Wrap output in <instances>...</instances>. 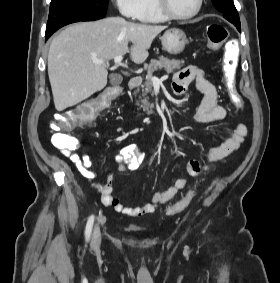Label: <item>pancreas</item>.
I'll use <instances>...</instances> for the list:
<instances>
[{"label": "pancreas", "mask_w": 280, "mask_h": 283, "mask_svg": "<svg viewBox=\"0 0 280 283\" xmlns=\"http://www.w3.org/2000/svg\"><path fill=\"white\" fill-rule=\"evenodd\" d=\"M184 64L183 60L178 59H169L167 57H159L158 60L152 59L150 61V64L147 66V76L145 79V82L142 86V96L144 99L141 100L144 111H147L148 113H152V108L154 107V104H150L145 98V95L147 93H151L153 90V82H152V75L153 73L158 69H164L167 73L173 72L175 69H180L182 65Z\"/></svg>", "instance_id": "obj_1"}]
</instances>
